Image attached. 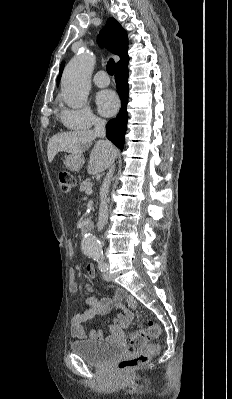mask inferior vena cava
<instances>
[{
	"label": "inferior vena cava",
	"mask_w": 232,
	"mask_h": 399,
	"mask_svg": "<svg viewBox=\"0 0 232 399\" xmlns=\"http://www.w3.org/2000/svg\"><path fill=\"white\" fill-rule=\"evenodd\" d=\"M93 126H94V134L97 136V138H105V126L106 122L105 120H101V118H96V120H93ZM101 142H105V140H101ZM106 144H111V142H106ZM114 162V158H111V164H110V170L104 178V182L101 186V201H100V207H99V217H98V229H103L105 223H107V217H108V190L109 186L111 184V178L113 176V172L115 170L114 166H112Z\"/></svg>",
	"instance_id": "obj_1"
}]
</instances>
